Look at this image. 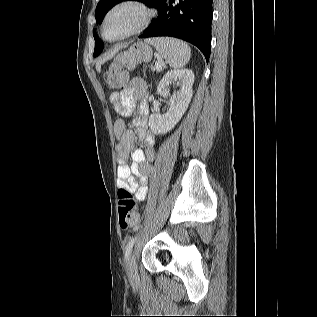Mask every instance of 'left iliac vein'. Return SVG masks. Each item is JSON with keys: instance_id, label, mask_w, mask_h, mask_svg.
<instances>
[{"instance_id": "left-iliac-vein-1", "label": "left iliac vein", "mask_w": 317, "mask_h": 317, "mask_svg": "<svg viewBox=\"0 0 317 317\" xmlns=\"http://www.w3.org/2000/svg\"><path fill=\"white\" fill-rule=\"evenodd\" d=\"M126 268H127V274L128 277L132 280L137 279V264H136V260H135V253L132 252L127 259V263H126Z\"/></svg>"}]
</instances>
